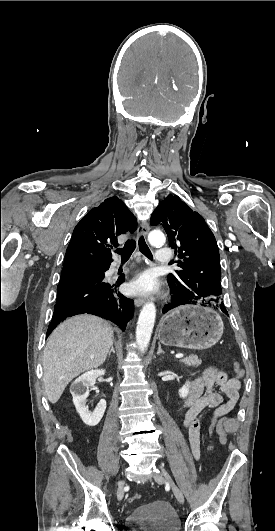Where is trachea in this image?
I'll list each match as a JSON object with an SVG mask.
<instances>
[{"instance_id": "trachea-1", "label": "trachea", "mask_w": 275, "mask_h": 531, "mask_svg": "<svg viewBox=\"0 0 275 531\" xmlns=\"http://www.w3.org/2000/svg\"><path fill=\"white\" fill-rule=\"evenodd\" d=\"M135 247H136V243L132 239L131 241H127V243H125L124 248L117 249L116 253H119L121 255V260L126 261V260H128L130 258V256L133 253ZM139 250L147 258H149L151 260L153 259V255H152L150 249L148 248L143 236H141L140 239H139ZM169 264H171V263H169Z\"/></svg>"}]
</instances>
